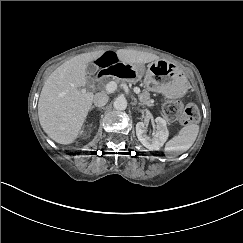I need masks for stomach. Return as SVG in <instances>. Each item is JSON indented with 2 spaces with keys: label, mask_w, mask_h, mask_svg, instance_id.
Wrapping results in <instances>:
<instances>
[{
  "label": "stomach",
  "mask_w": 243,
  "mask_h": 243,
  "mask_svg": "<svg viewBox=\"0 0 243 243\" xmlns=\"http://www.w3.org/2000/svg\"><path fill=\"white\" fill-rule=\"evenodd\" d=\"M134 72L144 75V85L149 91L159 92L168 98L183 96L189 87L188 79L172 63L156 60L145 70L142 65H134Z\"/></svg>",
  "instance_id": "obj_1"
}]
</instances>
